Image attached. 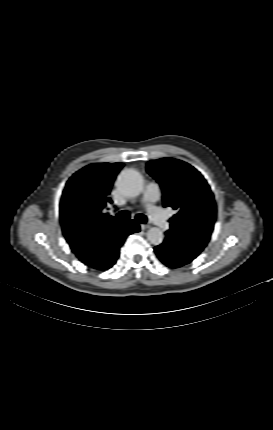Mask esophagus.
Segmentation results:
<instances>
[{"label": "esophagus", "instance_id": "esophagus-1", "mask_svg": "<svg viewBox=\"0 0 273 430\" xmlns=\"http://www.w3.org/2000/svg\"><path fill=\"white\" fill-rule=\"evenodd\" d=\"M150 228V225H148V224H141V229L142 230H146V229H149Z\"/></svg>", "mask_w": 273, "mask_h": 430}]
</instances>
